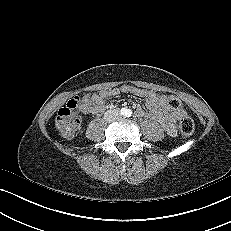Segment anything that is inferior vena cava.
Returning <instances> with one entry per match:
<instances>
[{
	"label": "inferior vena cava",
	"instance_id": "obj_1",
	"mask_svg": "<svg viewBox=\"0 0 231 231\" xmlns=\"http://www.w3.org/2000/svg\"><path fill=\"white\" fill-rule=\"evenodd\" d=\"M112 113H114L115 115H118L119 111L118 110H113Z\"/></svg>",
	"mask_w": 231,
	"mask_h": 231
}]
</instances>
